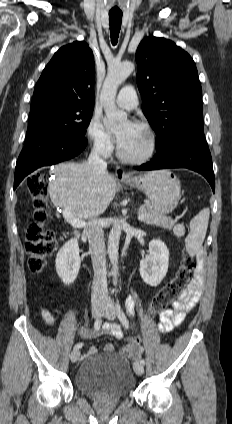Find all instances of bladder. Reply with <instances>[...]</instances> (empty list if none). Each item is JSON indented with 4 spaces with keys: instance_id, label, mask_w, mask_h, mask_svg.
Masks as SVG:
<instances>
[{
    "instance_id": "31cf9c89",
    "label": "bladder",
    "mask_w": 232,
    "mask_h": 424,
    "mask_svg": "<svg viewBox=\"0 0 232 424\" xmlns=\"http://www.w3.org/2000/svg\"><path fill=\"white\" fill-rule=\"evenodd\" d=\"M75 384L82 393L94 397H123L136 384L130 362L117 354L95 355L79 366Z\"/></svg>"
}]
</instances>
